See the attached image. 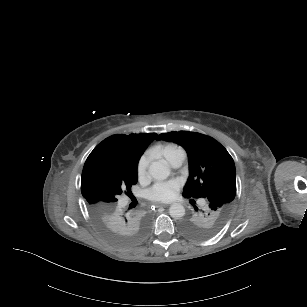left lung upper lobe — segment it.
<instances>
[{"label": "left lung upper lobe", "mask_w": 307, "mask_h": 307, "mask_svg": "<svg viewBox=\"0 0 307 307\" xmlns=\"http://www.w3.org/2000/svg\"><path fill=\"white\" fill-rule=\"evenodd\" d=\"M157 140L181 145L188 154L189 178L183 196L204 198L207 205L181 223L182 232L194 239L215 234L224 225L236 193L235 164L227 150L215 139L195 132L180 131L158 135Z\"/></svg>", "instance_id": "left-lung-upper-lobe-1"}]
</instances>
